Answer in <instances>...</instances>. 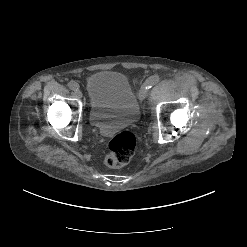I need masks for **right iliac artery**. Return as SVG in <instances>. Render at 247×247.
Segmentation results:
<instances>
[{
    "label": "right iliac artery",
    "instance_id": "right-iliac-artery-1",
    "mask_svg": "<svg viewBox=\"0 0 247 247\" xmlns=\"http://www.w3.org/2000/svg\"><path fill=\"white\" fill-rule=\"evenodd\" d=\"M68 87L71 89V90H77L79 89V84L75 81H70L68 83Z\"/></svg>",
    "mask_w": 247,
    "mask_h": 247
}]
</instances>
